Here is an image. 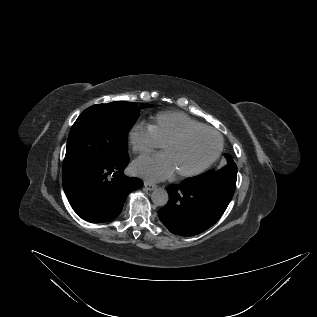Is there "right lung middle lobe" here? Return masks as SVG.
<instances>
[{"instance_id":"dd1d6c3e","label":"right lung middle lobe","mask_w":317,"mask_h":317,"mask_svg":"<svg viewBox=\"0 0 317 317\" xmlns=\"http://www.w3.org/2000/svg\"><path fill=\"white\" fill-rule=\"evenodd\" d=\"M149 107L141 105L140 108ZM135 103L116 101L84 110L73 124L62 174L110 163L128 156V132L139 117Z\"/></svg>"}]
</instances>
